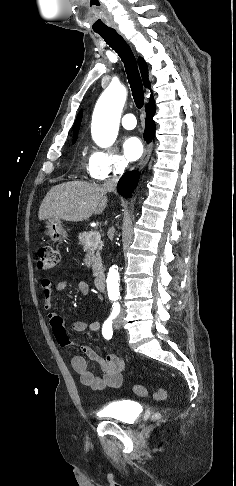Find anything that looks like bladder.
Returning <instances> with one entry per match:
<instances>
[{"label": "bladder", "instance_id": "bladder-1", "mask_svg": "<svg viewBox=\"0 0 236 486\" xmlns=\"http://www.w3.org/2000/svg\"><path fill=\"white\" fill-rule=\"evenodd\" d=\"M139 405L133 401H114L105 405L100 414L122 422H133L139 414Z\"/></svg>", "mask_w": 236, "mask_h": 486}]
</instances>
